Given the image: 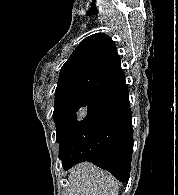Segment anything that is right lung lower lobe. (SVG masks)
Listing matches in <instances>:
<instances>
[{"label":"right lung lower lobe","instance_id":"right-lung-lower-lobe-1","mask_svg":"<svg viewBox=\"0 0 178 195\" xmlns=\"http://www.w3.org/2000/svg\"><path fill=\"white\" fill-rule=\"evenodd\" d=\"M132 115L126 82L98 94L85 117L59 145V159L68 170L89 161L126 182L133 153Z\"/></svg>","mask_w":178,"mask_h":195}]
</instances>
